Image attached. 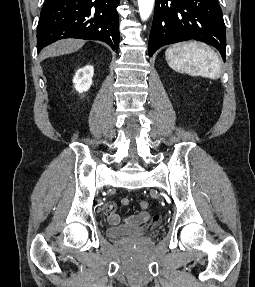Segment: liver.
<instances>
[{
    "instance_id": "liver-1",
    "label": "liver",
    "mask_w": 255,
    "mask_h": 287,
    "mask_svg": "<svg viewBox=\"0 0 255 287\" xmlns=\"http://www.w3.org/2000/svg\"><path fill=\"white\" fill-rule=\"evenodd\" d=\"M85 40H59L52 46H48L41 52V58H54V56H63V54H72L77 52L82 46H84Z\"/></svg>"
}]
</instances>
